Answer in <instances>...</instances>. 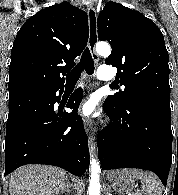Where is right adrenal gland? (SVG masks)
<instances>
[{
    "label": "right adrenal gland",
    "instance_id": "obj_1",
    "mask_svg": "<svg viewBox=\"0 0 178 195\" xmlns=\"http://www.w3.org/2000/svg\"><path fill=\"white\" fill-rule=\"evenodd\" d=\"M62 193H70L71 192V185L69 180L66 181L65 187L61 190Z\"/></svg>",
    "mask_w": 178,
    "mask_h": 195
}]
</instances>
